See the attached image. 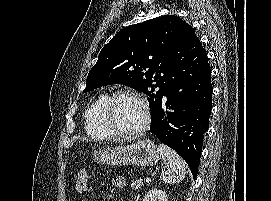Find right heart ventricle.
Returning a JSON list of instances; mask_svg holds the SVG:
<instances>
[{"label":"right heart ventricle","instance_id":"obj_1","mask_svg":"<svg viewBox=\"0 0 271 201\" xmlns=\"http://www.w3.org/2000/svg\"><path fill=\"white\" fill-rule=\"evenodd\" d=\"M109 97L108 94H100L87 108L85 112V130L91 137L98 139H112L116 135L106 125L102 110Z\"/></svg>","mask_w":271,"mask_h":201}]
</instances>
